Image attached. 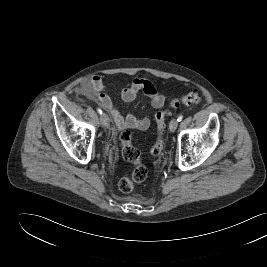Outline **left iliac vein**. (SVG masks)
I'll return each mask as SVG.
<instances>
[{
  "mask_svg": "<svg viewBox=\"0 0 267 267\" xmlns=\"http://www.w3.org/2000/svg\"><path fill=\"white\" fill-rule=\"evenodd\" d=\"M178 127V120L177 119H172L170 124H169V129L171 132H174Z\"/></svg>",
  "mask_w": 267,
  "mask_h": 267,
  "instance_id": "1",
  "label": "left iliac vein"
}]
</instances>
